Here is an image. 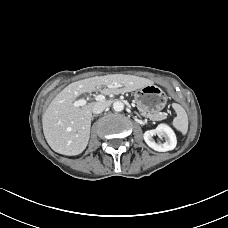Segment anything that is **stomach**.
Masks as SVG:
<instances>
[{
	"mask_svg": "<svg viewBox=\"0 0 228 228\" xmlns=\"http://www.w3.org/2000/svg\"><path fill=\"white\" fill-rule=\"evenodd\" d=\"M135 101L139 109L156 113L165 107L167 97L160 87L152 84L139 88L135 92Z\"/></svg>",
	"mask_w": 228,
	"mask_h": 228,
	"instance_id": "0dacf381",
	"label": "stomach"
}]
</instances>
